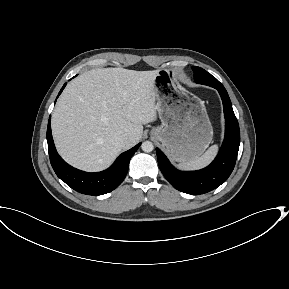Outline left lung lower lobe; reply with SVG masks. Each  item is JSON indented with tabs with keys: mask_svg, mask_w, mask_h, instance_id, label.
Returning a JSON list of instances; mask_svg holds the SVG:
<instances>
[{
	"mask_svg": "<svg viewBox=\"0 0 289 289\" xmlns=\"http://www.w3.org/2000/svg\"><path fill=\"white\" fill-rule=\"evenodd\" d=\"M222 98L225 115V138L214 161L204 169L183 172L171 165L156 148L158 164L167 181L177 190L188 194H204L220 186L234 169L240 144V130L228 93L216 88Z\"/></svg>",
	"mask_w": 289,
	"mask_h": 289,
	"instance_id": "left-lung-lower-lobe-1",
	"label": "left lung lower lobe"
}]
</instances>
